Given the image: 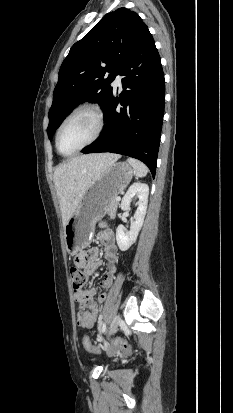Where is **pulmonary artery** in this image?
Masks as SVG:
<instances>
[{
  "label": "pulmonary artery",
  "instance_id": "obj_1",
  "mask_svg": "<svg viewBox=\"0 0 233 413\" xmlns=\"http://www.w3.org/2000/svg\"><path fill=\"white\" fill-rule=\"evenodd\" d=\"M114 86L121 88L122 87V76L121 75H117L115 80H114Z\"/></svg>",
  "mask_w": 233,
  "mask_h": 413
}]
</instances>
